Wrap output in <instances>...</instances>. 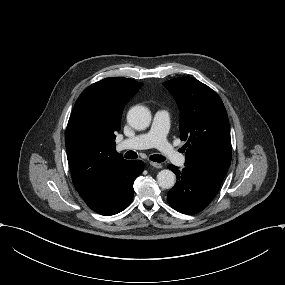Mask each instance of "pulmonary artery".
I'll list each match as a JSON object with an SVG mask.
<instances>
[{
    "instance_id": "obj_1",
    "label": "pulmonary artery",
    "mask_w": 285,
    "mask_h": 285,
    "mask_svg": "<svg viewBox=\"0 0 285 285\" xmlns=\"http://www.w3.org/2000/svg\"><path fill=\"white\" fill-rule=\"evenodd\" d=\"M172 116L166 110L155 113L153 123L147 132H141L134 137L122 138L119 147L122 149L132 148H158L179 167H184L186 155L178 153L166 140L165 132L171 127Z\"/></svg>"
}]
</instances>
